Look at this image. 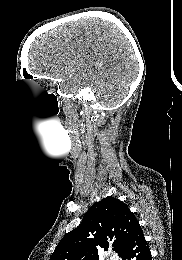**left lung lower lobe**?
Wrapping results in <instances>:
<instances>
[{
	"instance_id": "1",
	"label": "left lung lower lobe",
	"mask_w": 182,
	"mask_h": 260,
	"mask_svg": "<svg viewBox=\"0 0 182 260\" xmlns=\"http://www.w3.org/2000/svg\"><path fill=\"white\" fill-rule=\"evenodd\" d=\"M120 257L123 260H152L149 246L140 226L131 234L125 250Z\"/></svg>"
}]
</instances>
